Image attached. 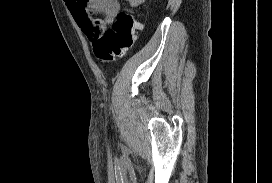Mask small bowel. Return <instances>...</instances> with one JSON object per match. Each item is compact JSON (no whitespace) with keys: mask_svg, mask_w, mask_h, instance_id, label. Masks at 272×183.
<instances>
[{"mask_svg":"<svg viewBox=\"0 0 272 183\" xmlns=\"http://www.w3.org/2000/svg\"><path fill=\"white\" fill-rule=\"evenodd\" d=\"M140 7L145 0H127ZM67 7L80 29L90 38L102 34L117 15L118 0H66Z\"/></svg>","mask_w":272,"mask_h":183,"instance_id":"obj_1","label":"small bowel"}]
</instances>
